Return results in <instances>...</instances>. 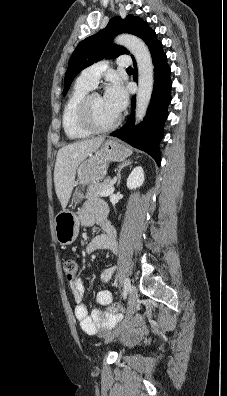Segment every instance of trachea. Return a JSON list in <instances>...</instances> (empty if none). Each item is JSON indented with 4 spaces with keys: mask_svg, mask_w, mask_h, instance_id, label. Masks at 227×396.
Listing matches in <instances>:
<instances>
[{
    "mask_svg": "<svg viewBox=\"0 0 227 396\" xmlns=\"http://www.w3.org/2000/svg\"><path fill=\"white\" fill-rule=\"evenodd\" d=\"M132 70H133L132 67H128V68H127V71H132Z\"/></svg>",
    "mask_w": 227,
    "mask_h": 396,
    "instance_id": "trachea-1",
    "label": "trachea"
}]
</instances>
